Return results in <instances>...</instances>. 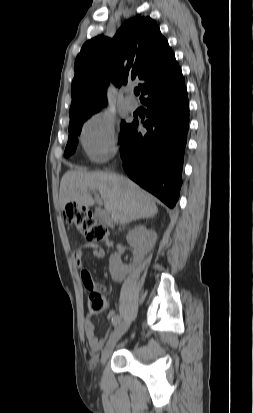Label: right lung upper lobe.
Masks as SVG:
<instances>
[{
  "mask_svg": "<svg viewBox=\"0 0 253 413\" xmlns=\"http://www.w3.org/2000/svg\"><path fill=\"white\" fill-rule=\"evenodd\" d=\"M133 80L139 82L142 103L185 85L159 27L150 17L140 15L127 20L113 39L100 35L83 45L75 60L70 120L105 106L110 81L120 87Z\"/></svg>",
  "mask_w": 253,
  "mask_h": 413,
  "instance_id": "cb5924a9",
  "label": "right lung upper lobe"
}]
</instances>
